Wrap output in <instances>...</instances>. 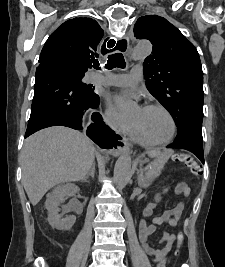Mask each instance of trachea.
<instances>
[{
	"label": "trachea",
	"instance_id": "obj_1",
	"mask_svg": "<svg viewBox=\"0 0 225 267\" xmlns=\"http://www.w3.org/2000/svg\"><path fill=\"white\" fill-rule=\"evenodd\" d=\"M107 45L108 47L111 48L115 45V41L110 40ZM113 50H116V48H114ZM93 66L94 68L98 69L99 63H94ZM116 67L122 68V69L126 67L124 57L121 53H115V54H111L108 56V60H107V64L105 65V68L111 70Z\"/></svg>",
	"mask_w": 225,
	"mask_h": 267
}]
</instances>
